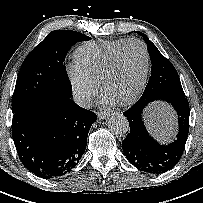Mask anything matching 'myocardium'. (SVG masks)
Wrapping results in <instances>:
<instances>
[{"mask_svg":"<svg viewBox=\"0 0 203 203\" xmlns=\"http://www.w3.org/2000/svg\"><path fill=\"white\" fill-rule=\"evenodd\" d=\"M131 43H137L142 47V49L144 51V56H145V65H144V70H143L141 80H140L136 90L133 92V94L130 97L117 102L119 105H122V106L130 105V104L134 103L140 97V95L142 94V92L146 86L149 71H150V53H149L147 45L138 38H130V39H127L126 41H124L115 50V52L111 56L110 60L108 61L107 65L105 66V68L102 72V75H101V78L99 81L100 89L103 93H105L107 82L117 66L119 56H120L122 50Z\"/></svg>","mask_w":203,"mask_h":203,"instance_id":"f54148a6","label":"myocardium"}]
</instances>
